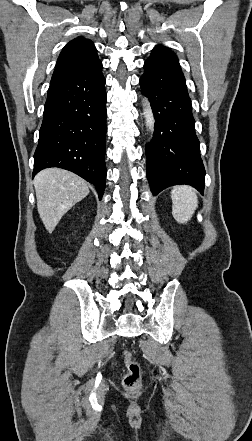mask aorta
Returning <instances> with one entry per match:
<instances>
[{"mask_svg":"<svg viewBox=\"0 0 252 441\" xmlns=\"http://www.w3.org/2000/svg\"><path fill=\"white\" fill-rule=\"evenodd\" d=\"M143 111H144V117L146 120V125L149 128V130L153 131L155 120H154L152 109L150 107V103L146 98H143Z\"/></svg>","mask_w":252,"mask_h":441,"instance_id":"obj_1","label":"aorta"}]
</instances>
